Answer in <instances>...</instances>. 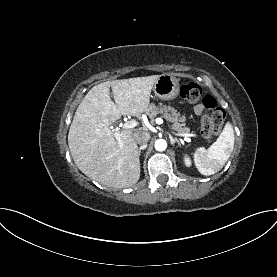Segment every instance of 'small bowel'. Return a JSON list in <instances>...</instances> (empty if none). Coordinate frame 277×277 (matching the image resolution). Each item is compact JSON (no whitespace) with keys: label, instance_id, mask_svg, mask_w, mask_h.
I'll return each instance as SVG.
<instances>
[{"label":"small bowel","instance_id":"small-bowel-1","mask_svg":"<svg viewBox=\"0 0 277 277\" xmlns=\"http://www.w3.org/2000/svg\"><path fill=\"white\" fill-rule=\"evenodd\" d=\"M204 110V106L202 104L195 106L194 111L196 114H201Z\"/></svg>","mask_w":277,"mask_h":277}]
</instances>
